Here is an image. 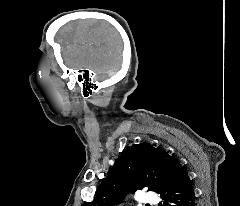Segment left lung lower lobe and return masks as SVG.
Listing matches in <instances>:
<instances>
[{
  "label": "left lung lower lobe",
  "mask_w": 240,
  "mask_h": 206,
  "mask_svg": "<svg viewBox=\"0 0 240 206\" xmlns=\"http://www.w3.org/2000/svg\"><path fill=\"white\" fill-rule=\"evenodd\" d=\"M165 206H195L192 181L184 167L176 161L165 191L161 194Z\"/></svg>",
  "instance_id": "1"
}]
</instances>
